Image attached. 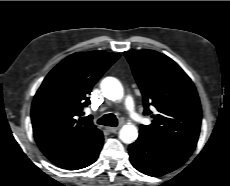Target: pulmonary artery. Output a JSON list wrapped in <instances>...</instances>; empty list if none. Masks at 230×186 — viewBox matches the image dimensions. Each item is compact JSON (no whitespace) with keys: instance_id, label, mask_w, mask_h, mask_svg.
<instances>
[{"instance_id":"1","label":"pulmonary artery","mask_w":230,"mask_h":186,"mask_svg":"<svg viewBox=\"0 0 230 186\" xmlns=\"http://www.w3.org/2000/svg\"><path fill=\"white\" fill-rule=\"evenodd\" d=\"M125 108L130 116L133 117L136 115L135 105L130 96H128L125 100Z\"/></svg>"}]
</instances>
